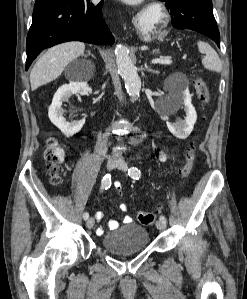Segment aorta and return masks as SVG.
Returning a JSON list of instances; mask_svg holds the SVG:
<instances>
[{
    "instance_id": "1",
    "label": "aorta",
    "mask_w": 247,
    "mask_h": 299,
    "mask_svg": "<svg viewBox=\"0 0 247 299\" xmlns=\"http://www.w3.org/2000/svg\"><path fill=\"white\" fill-rule=\"evenodd\" d=\"M115 56L118 72L124 80L127 93L133 99L138 98L141 89V79L129 57L128 49L123 45H117L115 48Z\"/></svg>"
}]
</instances>
